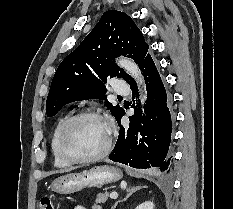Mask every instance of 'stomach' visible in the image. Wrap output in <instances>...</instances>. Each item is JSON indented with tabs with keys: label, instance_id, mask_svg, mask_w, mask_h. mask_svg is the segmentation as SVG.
Segmentation results:
<instances>
[{
	"label": "stomach",
	"instance_id": "obj_1",
	"mask_svg": "<svg viewBox=\"0 0 233 209\" xmlns=\"http://www.w3.org/2000/svg\"><path fill=\"white\" fill-rule=\"evenodd\" d=\"M122 176V171L118 168L108 165L95 166L79 173H68L58 177L51 184V190L59 194H71L84 188L102 187L117 182Z\"/></svg>",
	"mask_w": 233,
	"mask_h": 209
}]
</instances>
